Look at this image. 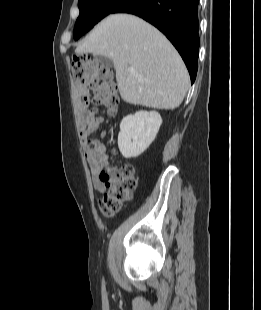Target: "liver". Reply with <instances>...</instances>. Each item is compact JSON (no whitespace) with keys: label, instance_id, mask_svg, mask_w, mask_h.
Returning <instances> with one entry per match:
<instances>
[{"label":"liver","instance_id":"obj_1","mask_svg":"<svg viewBox=\"0 0 261 310\" xmlns=\"http://www.w3.org/2000/svg\"><path fill=\"white\" fill-rule=\"evenodd\" d=\"M75 53L109 57L121 98L130 104L173 110L189 88V74L176 49L160 31L134 15H109ZM130 67L135 73L128 72Z\"/></svg>","mask_w":261,"mask_h":310}]
</instances>
